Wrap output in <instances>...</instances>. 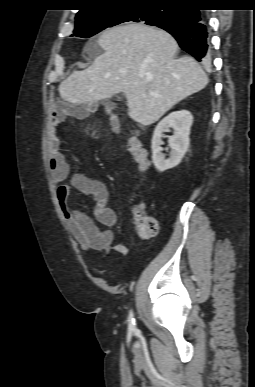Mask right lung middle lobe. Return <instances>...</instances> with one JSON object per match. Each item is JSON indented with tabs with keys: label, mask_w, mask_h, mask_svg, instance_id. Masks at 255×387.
<instances>
[{
	"label": "right lung middle lobe",
	"mask_w": 255,
	"mask_h": 387,
	"mask_svg": "<svg viewBox=\"0 0 255 387\" xmlns=\"http://www.w3.org/2000/svg\"><path fill=\"white\" fill-rule=\"evenodd\" d=\"M177 14V8L161 11L159 6L136 5L111 8L76 20L72 36L89 38L108 27L129 21L159 27L178 20Z\"/></svg>",
	"instance_id": "right-lung-middle-lobe-1"
}]
</instances>
